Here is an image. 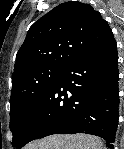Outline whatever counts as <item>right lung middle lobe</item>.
Returning a JSON list of instances; mask_svg holds the SVG:
<instances>
[{"label": "right lung middle lobe", "instance_id": "1", "mask_svg": "<svg viewBox=\"0 0 124 149\" xmlns=\"http://www.w3.org/2000/svg\"><path fill=\"white\" fill-rule=\"evenodd\" d=\"M63 68L45 66L20 77L13 85L10 97V130L15 147L29 121L43 101Z\"/></svg>", "mask_w": 124, "mask_h": 149}]
</instances>
